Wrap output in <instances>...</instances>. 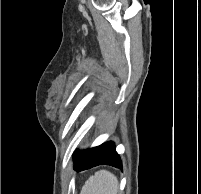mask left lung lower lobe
I'll use <instances>...</instances> for the list:
<instances>
[{"mask_svg":"<svg viewBox=\"0 0 201 194\" xmlns=\"http://www.w3.org/2000/svg\"><path fill=\"white\" fill-rule=\"evenodd\" d=\"M77 171L92 168L97 165H111L116 168H122V161L115 151L113 142H106L90 150L77 152L74 154Z\"/></svg>","mask_w":201,"mask_h":194,"instance_id":"0a47b994","label":"left lung lower lobe"}]
</instances>
